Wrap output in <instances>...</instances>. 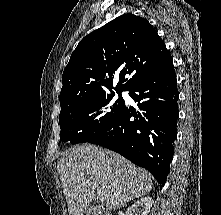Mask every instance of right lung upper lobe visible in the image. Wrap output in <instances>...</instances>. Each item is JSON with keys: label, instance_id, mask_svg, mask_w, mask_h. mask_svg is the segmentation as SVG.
<instances>
[{"label": "right lung upper lobe", "instance_id": "1", "mask_svg": "<svg viewBox=\"0 0 221 215\" xmlns=\"http://www.w3.org/2000/svg\"><path fill=\"white\" fill-rule=\"evenodd\" d=\"M170 58L146 19L131 13L121 15L84 37L73 51L62 75L61 108L113 93L116 71H120V77L115 91L129 90Z\"/></svg>", "mask_w": 221, "mask_h": 215}]
</instances>
